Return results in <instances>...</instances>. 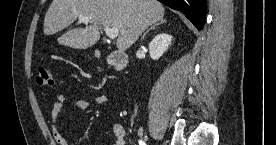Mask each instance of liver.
<instances>
[{
  "label": "liver",
  "instance_id": "obj_1",
  "mask_svg": "<svg viewBox=\"0 0 276 145\" xmlns=\"http://www.w3.org/2000/svg\"><path fill=\"white\" fill-rule=\"evenodd\" d=\"M164 6L156 0H53L44 19V34L69 27L80 16L91 17L90 25L74 28L58 38L61 45L87 49L100 39L101 26L119 30L117 49L123 52L149 26L163 20Z\"/></svg>",
  "mask_w": 276,
  "mask_h": 145
}]
</instances>
